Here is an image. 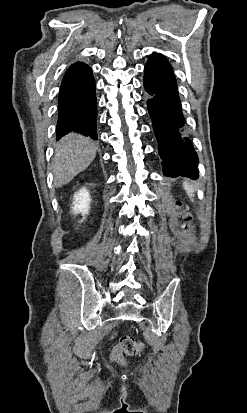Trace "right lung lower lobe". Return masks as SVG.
Instances as JSON below:
<instances>
[{
  "label": "right lung lower lobe",
  "mask_w": 247,
  "mask_h": 413,
  "mask_svg": "<svg viewBox=\"0 0 247 413\" xmlns=\"http://www.w3.org/2000/svg\"><path fill=\"white\" fill-rule=\"evenodd\" d=\"M97 101L91 68L77 62L66 71L58 97L56 139L70 132L97 139Z\"/></svg>",
  "instance_id": "obj_1"
}]
</instances>
